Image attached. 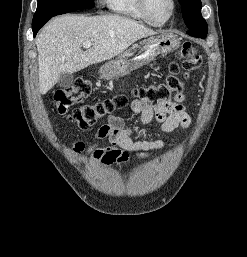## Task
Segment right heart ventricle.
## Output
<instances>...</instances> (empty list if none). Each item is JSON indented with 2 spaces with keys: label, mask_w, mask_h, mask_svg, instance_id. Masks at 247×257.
<instances>
[{
  "label": "right heart ventricle",
  "mask_w": 247,
  "mask_h": 257,
  "mask_svg": "<svg viewBox=\"0 0 247 257\" xmlns=\"http://www.w3.org/2000/svg\"><path fill=\"white\" fill-rule=\"evenodd\" d=\"M106 4L115 14L147 22L140 10L138 0H106Z\"/></svg>",
  "instance_id": "e07e8e85"
}]
</instances>
